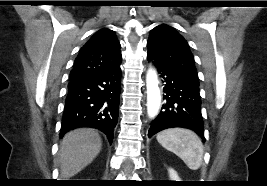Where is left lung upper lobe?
Segmentation results:
<instances>
[{"mask_svg": "<svg viewBox=\"0 0 267 186\" xmlns=\"http://www.w3.org/2000/svg\"><path fill=\"white\" fill-rule=\"evenodd\" d=\"M148 59L199 84L194 57L186 40L168 25L155 27L149 36Z\"/></svg>", "mask_w": 267, "mask_h": 186, "instance_id": "left-lung-upper-lobe-1", "label": "left lung upper lobe"}]
</instances>
